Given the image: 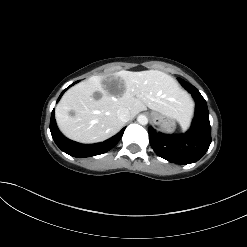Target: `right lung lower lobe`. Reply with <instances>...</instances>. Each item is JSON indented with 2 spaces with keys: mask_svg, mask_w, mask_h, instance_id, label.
Returning <instances> with one entry per match:
<instances>
[{
  "mask_svg": "<svg viewBox=\"0 0 247 247\" xmlns=\"http://www.w3.org/2000/svg\"><path fill=\"white\" fill-rule=\"evenodd\" d=\"M78 82V81H77ZM71 84L70 86L74 85L75 83ZM69 86V87H70ZM68 87V88H69ZM66 88L61 95L59 96L58 100L61 98L63 93L68 89ZM125 128H123L118 134L111 137L110 139L96 144H80L74 141H71L67 139L65 136L62 135V133L57 128L55 118H54V110L51 114V120H50V131L53 140L55 141L56 145L65 153L73 156V157H91L95 155L103 154L110 149H112L121 139Z\"/></svg>",
  "mask_w": 247,
  "mask_h": 247,
  "instance_id": "98d812e1",
  "label": "right lung lower lobe"
}]
</instances>
